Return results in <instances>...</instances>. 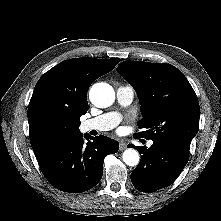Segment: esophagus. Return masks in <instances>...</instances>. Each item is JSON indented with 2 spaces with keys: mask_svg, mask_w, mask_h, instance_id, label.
<instances>
[{
  "mask_svg": "<svg viewBox=\"0 0 221 221\" xmlns=\"http://www.w3.org/2000/svg\"><path fill=\"white\" fill-rule=\"evenodd\" d=\"M125 149H126V143L123 142V141H120V142H119V150H120V151H123V150H125Z\"/></svg>",
  "mask_w": 221,
  "mask_h": 221,
  "instance_id": "1",
  "label": "esophagus"
}]
</instances>
